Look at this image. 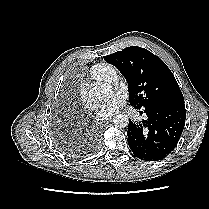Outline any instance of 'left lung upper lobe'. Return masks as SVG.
Returning a JSON list of instances; mask_svg holds the SVG:
<instances>
[{
  "instance_id": "5c2ea615",
  "label": "left lung upper lobe",
  "mask_w": 209,
  "mask_h": 209,
  "mask_svg": "<svg viewBox=\"0 0 209 209\" xmlns=\"http://www.w3.org/2000/svg\"><path fill=\"white\" fill-rule=\"evenodd\" d=\"M126 78L129 102L136 109L183 107L184 98L167 65L150 51L131 46L104 57Z\"/></svg>"
}]
</instances>
